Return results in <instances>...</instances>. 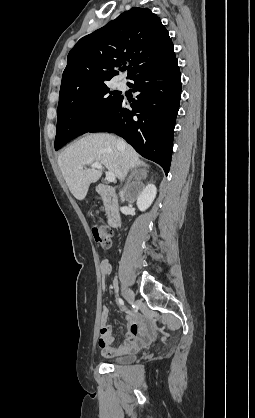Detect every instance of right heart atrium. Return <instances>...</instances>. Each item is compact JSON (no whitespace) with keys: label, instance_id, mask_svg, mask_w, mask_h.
I'll return each instance as SVG.
<instances>
[{"label":"right heart atrium","instance_id":"obj_1","mask_svg":"<svg viewBox=\"0 0 255 418\" xmlns=\"http://www.w3.org/2000/svg\"><path fill=\"white\" fill-rule=\"evenodd\" d=\"M94 109H95V105H94V104H90V105L88 106V111H89V112H92Z\"/></svg>","mask_w":255,"mask_h":418}]
</instances>
